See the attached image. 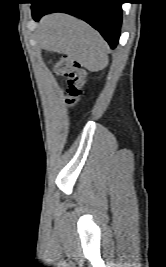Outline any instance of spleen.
Returning a JSON list of instances; mask_svg holds the SVG:
<instances>
[{
  "instance_id": "1",
  "label": "spleen",
  "mask_w": 166,
  "mask_h": 267,
  "mask_svg": "<svg viewBox=\"0 0 166 267\" xmlns=\"http://www.w3.org/2000/svg\"><path fill=\"white\" fill-rule=\"evenodd\" d=\"M39 41L42 47L68 55L89 71L102 70L109 62L107 44L100 34L70 15L47 16L41 23Z\"/></svg>"
}]
</instances>
